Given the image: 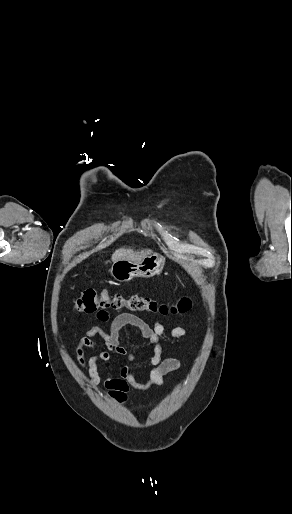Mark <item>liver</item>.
Returning a JSON list of instances; mask_svg holds the SVG:
<instances>
[{
  "label": "liver",
  "mask_w": 292,
  "mask_h": 514,
  "mask_svg": "<svg viewBox=\"0 0 292 514\" xmlns=\"http://www.w3.org/2000/svg\"><path fill=\"white\" fill-rule=\"evenodd\" d=\"M151 250H142V252H133V250H125V248H120V250H116L114 254H112V262H117V260H132V262H136V260H140L143 256H147Z\"/></svg>",
  "instance_id": "1"
}]
</instances>
